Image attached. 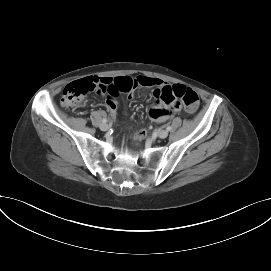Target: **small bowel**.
Returning a JSON list of instances; mask_svg holds the SVG:
<instances>
[{
    "label": "small bowel",
    "instance_id": "c3829d8e",
    "mask_svg": "<svg viewBox=\"0 0 271 271\" xmlns=\"http://www.w3.org/2000/svg\"><path fill=\"white\" fill-rule=\"evenodd\" d=\"M90 79L97 80L96 90L107 102L111 116L116 115L117 106L124 102L125 98L131 94L133 89H146L148 87H155L154 95L158 98V101L148 110L149 118L152 121H165L181 109V105L178 101L167 103L161 98L162 89L171 85L166 84L158 78L146 76H134L130 78L128 76H121L118 79L110 77H95Z\"/></svg>",
    "mask_w": 271,
    "mask_h": 271
}]
</instances>
